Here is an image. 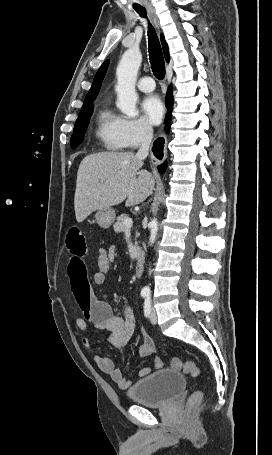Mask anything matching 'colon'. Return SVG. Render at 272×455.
Returning <instances> with one entry per match:
<instances>
[{"mask_svg": "<svg viewBox=\"0 0 272 455\" xmlns=\"http://www.w3.org/2000/svg\"><path fill=\"white\" fill-rule=\"evenodd\" d=\"M110 264L111 261L109 259L107 250L104 248L100 249L97 259V270L94 274V280L97 284H102L107 281ZM171 365L174 369L183 371L184 373L193 377H198L201 374L199 367L192 361H183L180 358L175 357L172 359ZM201 398V391L194 392L188 400V411H192L199 404Z\"/></svg>", "mask_w": 272, "mask_h": 455, "instance_id": "5ec220e1", "label": "colon"}]
</instances>
